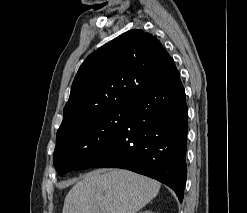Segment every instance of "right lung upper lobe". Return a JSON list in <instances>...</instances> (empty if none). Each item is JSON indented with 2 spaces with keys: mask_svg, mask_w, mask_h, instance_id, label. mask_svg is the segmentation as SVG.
Segmentation results:
<instances>
[{
  "mask_svg": "<svg viewBox=\"0 0 247 213\" xmlns=\"http://www.w3.org/2000/svg\"><path fill=\"white\" fill-rule=\"evenodd\" d=\"M177 71L157 38L138 29L123 33L90 54L80 66L57 136Z\"/></svg>",
  "mask_w": 247,
  "mask_h": 213,
  "instance_id": "right-lung-upper-lobe-1",
  "label": "right lung upper lobe"
}]
</instances>
